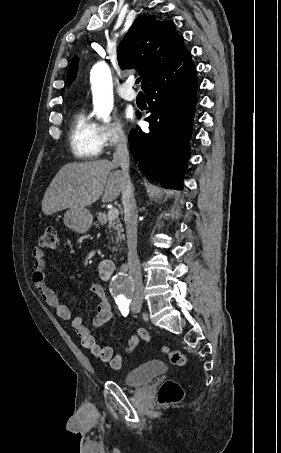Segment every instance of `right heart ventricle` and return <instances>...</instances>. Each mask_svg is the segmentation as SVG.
Masks as SVG:
<instances>
[{"label":"right heart ventricle","mask_w":281,"mask_h":453,"mask_svg":"<svg viewBox=\"0 0 281 453\" xmlns=\"http://www.w3.org/2000/svg\"><path fill=\"white\" fill-rule=\"evenodd\" d=\"M70 140L73 153L82 160L99 157L104 148L102 126L85 106L78 108L72 116Z\"/></svg>","instance_id":"right-heart-ventricle-1"}]
</instances>
